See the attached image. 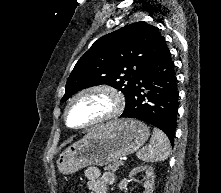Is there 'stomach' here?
<instances>
[{
    "instance_id": "stomach-1",
    "label": "stomach",
    "mask_w": 221,
    "mask_h": 193,
    "mask_svg": "<svg viewBox=\"0 0 221 193\" xmlns=\"http://www.w3.org/2000/svg\"><path fill=\"white\" fill-rule=\"evenodd\" d=\"M149 135L147 125L138 120L99 125L59 156L57 168L62 174H73L90 165H106L137 151Z\"/></svg>"
}]
</instances>
